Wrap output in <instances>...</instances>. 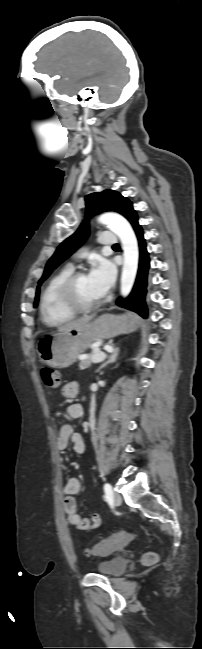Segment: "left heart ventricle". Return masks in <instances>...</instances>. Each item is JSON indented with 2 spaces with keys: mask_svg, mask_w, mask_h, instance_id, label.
Instances as JSON below:
<instances>
[{
  "mask_svg": "<svg viewBox=\"0 0 202 649\" xmlns=\"http://www.w3.org/2000/svg\"><path fill=\"white\" fill-rule=\"evenodd\" d=\"M78 298L86 303L94 302L102 296L93 288L87 275L82 276L77 282Z\"/></svg>",
  "mask_w": 202,
  "mask_h": 649,
  "instance_id": "obj_1",
  "label": "left heart ventricle"
}]
</instances>
